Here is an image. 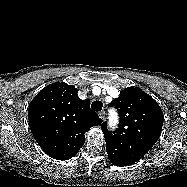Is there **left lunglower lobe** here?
<instances>
[{
  "label": "left lung lower lobe",
  "mask_w": 187,
  "mask_h": 187,
  "mask_svg": "<svg viewBox=\"0 0 187 187\" xmlns=\"http://www.w3.org/2000/svg\"><path fill=\"white\" fill-rule=\"evenodd\" d=\"M107 153L111 163L116 166H127L133 164L131 161L126 160L125 158L119 156L116 153H112L111 151H107Z\"/></svg>",
  "instance_id": "obj_1"
}]
</instances>
